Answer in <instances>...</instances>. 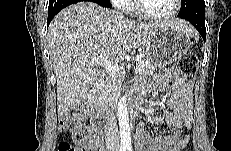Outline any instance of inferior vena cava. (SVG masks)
<instances>
[{
    "instance_id": "obj_1",
    "label": "inferior vena cava",
    "mask_w": 231,
    "mask_h": 151,
    "mask_svg": "<svg viewBox=\"0 0 231 151\" xmlns=\"http://www.w3.org/2000/svg\"><path fill=\"white\" fill-rule=\"evenodd\" d=\"M122 16V14H120ZM105 140L108 146L114 148L119 147V132L117 127V120L113 111L109 110L107 112V117L105 120Z\"/></svg>"
}]
</instances>
